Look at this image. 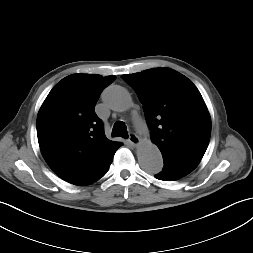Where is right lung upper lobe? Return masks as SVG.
I'll use <instances>...</instances> for the list:
<instances>
[{
    "instance_id": "1",
    "label": "right lung upper lobe",
    "mask_w": 253,
    "mask_h": 253,
    "mask_svg": "<svg viewBox=\"0 0 253 253\" xmlns=\"http://www.w3.org/2000/svg\"><path fill=\"white\" fill-rule=\"evenodd\" d=\"M115 79L97 74L67 76L53 87L39 110L37 136L42 155L71 184L89 185L107 172L118 142L106 138L94 107Z\"/></svg>"
}]
</instances>
